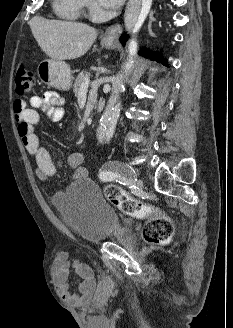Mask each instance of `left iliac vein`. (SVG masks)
<instances>
[{
  "mask_svg": "<svg viewBox=\"0 0 233 328\" xmlns=\"http://www.w3.org/2000/svg\"><path fill=\"white\" fill-rule=\"evenodd\" d=\"M120 172L123 175V179L126 180L130 186H135L139 189L143 188V183L137 178L135 171L126 164L120 166Z\"/></svg>",
  "mask_w": 233,
  "mask_h": 328,
  "instance_id": "1",
  "label": "left iliac vein"
}]
</instances>
